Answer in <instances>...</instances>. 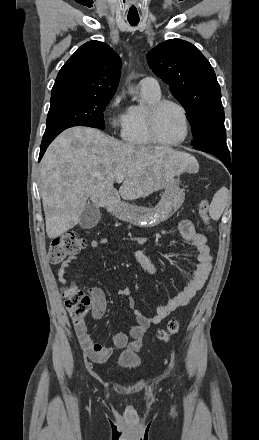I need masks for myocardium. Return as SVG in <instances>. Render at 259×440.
<instances>
[{
    "label": "myocardium",
    "instance_id": "myocardium-1",
    "mask_svg": "<svg viewBox=\"0 0 259 440\" xmlns=\"http://www.w3.org/2000/svg\"><path fill=\"white\" fill-rule=\"evenodd\" d=\"M167 105H173L176 108H178V110L181 113L183 123H184V135L179 140L174 141V142L163 141L159 137L158 130H157V122H158L159 114H160L161 110ZM146 121H147L148 134H149L151 140L155 144L160 145V146H165V147L178 146V145L184 143L190 134V123H189L187 111H186L185 107L180 102L173 100V99H159L158 101L152 103L147 109Z\"/></svg>",
    "mask_w": 259,
    "mask_h": 440
}]
</instances>
